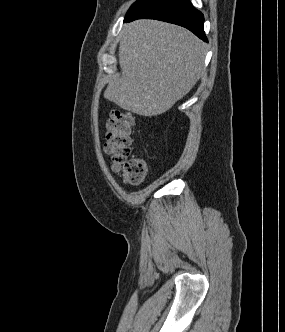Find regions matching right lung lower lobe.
I'll use <instances>...</instances> for the list:
<instances>
[{
    "label": "right lung lower lobe",
    "mask_w": 285,
    "mask_h": 332,
    "mask_svg": "<svg viewBox=\"0 0 285 332\" xmlns=\"http://www.w3.org/2000/svg\"><path fill=\"white\" fill-rule=\"evenodd\" d=\"M141 18L183 26L203 41H207L203 30V14L192 6L190 0H149L124 21L130 22Z\"/></svg>",
    "instance_id": "right-lung-lower-lobe-1"
}]
</instances>
